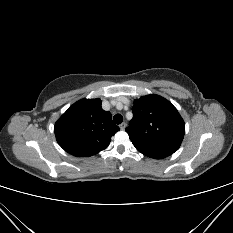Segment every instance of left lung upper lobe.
I'll return each instance as SVG.
<instances>
[{
  "label": "left lung upper lobe",
  "instance_id": "1",
  "mask_svg": "<svg viewBox=\"0 0 233 233\" xmlns=\"http://www.w3.org/2000/svg\"><path fill=\"white\" fill-rule=\"evenodd\" d=\"M133 118L126 128L135 148L142 154L163 159L181 145L185 125L177 109L159 95H147L134 101Z\"/></svg>",
  "mask_w": 233,
  "mask_h": 233
}]
</instances>
